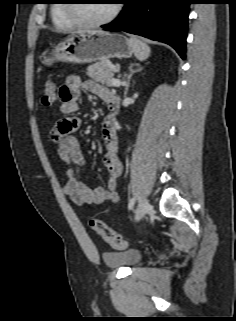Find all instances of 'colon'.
I'll use <instances>...</instances> for the list:
<instances>
[{
  "label": "colon",
  "instance_id": "1",
  "mask_svg": "<svg viewBox=\"0 0 236 321\" xmlns=\"http://www.w3.org/2000/svg\"><path fill=\"white\" fill-rule=\"evenodd\" d=\"M57 99V87L55 83H46L42 93V103L45 106H52ZM90 226L107 244L116 250L123 251L127 248V241L117 234L111 227L99 219H92Z\"/></svg>",
  "mask_w": 236,
  "mask_h": 321
}]
</instances>
